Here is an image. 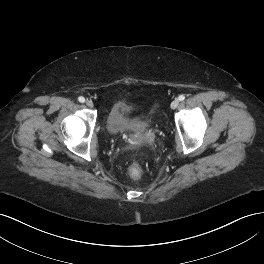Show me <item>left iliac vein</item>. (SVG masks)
Listing matches in <instances>:
<instances>
[{
    "label": "left iliac vein",
    "mask_w": 264,
    "mask_h": 264,
    "mask_svg": "<svg viewBox=\"0 0 264 264\" xmlns=\"http://www.w3.org/2000/svg\"><path fill=\"white\" fill-rule=\"evenodd\" d=\"M178 105H179V100H178V99H175V100H173V101L171 102V108H172V109L177 108Z\"/></svg>",
    "instance_id": "left-iliac-vein-1"
}]
</instances>
